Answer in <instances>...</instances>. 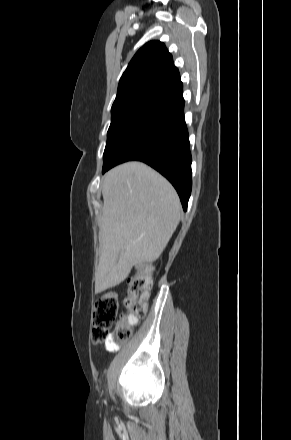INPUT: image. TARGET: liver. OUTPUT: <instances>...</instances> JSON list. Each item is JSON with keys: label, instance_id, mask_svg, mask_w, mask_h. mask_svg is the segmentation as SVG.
Masks as SVG:
<instances>
[{"label": "liver", "instance_id": "6515ba94", "mask_svg": "<svg viewBox=\"0 0 291 440\" xmlns=\"http://www.w3.org/2000/svg\"><path fill=\"white\" fill-rule=\"evenodd\" d=\"M102 196L97 293L123 282L134 265L155 261L181 217L173 186L142 162H127L108 171Z\"/></svg>", "mask_w": 291, "mask_h": 440}]
</instances>
